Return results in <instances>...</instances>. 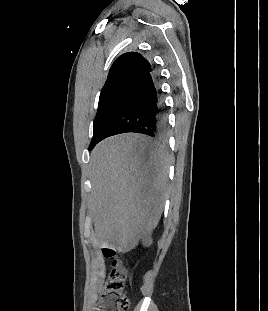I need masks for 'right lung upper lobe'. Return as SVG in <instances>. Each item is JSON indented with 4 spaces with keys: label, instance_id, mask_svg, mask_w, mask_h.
Returning <instances> with one entry per match:
<instances>
[{
    "label": "right lung upper lobe",
    "instance_id": "right-lung-upper-lobe-1",
    "mask_svg": "<svg viewBox=\"0 0 268 311\" xmlns=\"http://www.w3.org/2000/svg\"><path fill=\"white\" fill-rule=\"evenodd\" d=\"M151 68L150 63L139 53L122 54L111 66L100 97L124 85L137 84Z\"/></svg>",
    "mask_w": 268,
    "mask_h": 311
}]
</instances>
